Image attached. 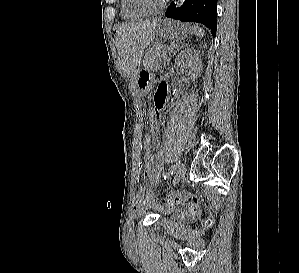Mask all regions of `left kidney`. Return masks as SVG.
Segmentation results:
<instances>
[{"label": "left kidney", "mask_w": 299, "mask_h": 273, "mask_svg": "<svg viewBox=\"0 0 299 273\" xmlns=\"http://www.w3.org/2000/svg\"><path fill=\"white\" fill-rule=\"evenodd\" d=\"M175 64L182 72H185L192 81H195L202 69L199 53L193 48L182 50L175 59Z\"/></svg>", "instance_id": "left-kidney-1"}]
</instances>
